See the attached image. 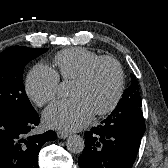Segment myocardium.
Instances as JSON below:
<instances>
[{"mask_svg":"<svg viewBox=\"0 0 168 168\" xmlns=\"http://www.w3.org/2000/svg\"><path fill=\"white\" fill-rule=\"evenodd\" d=\"M103 62H109L115 66L117 71V80H116V88L111 100L103 108L94 111V114L97 116L106 115L112 112L116 108L117 104L119 103L122 97L123 90H124V71L121 63L112 56H100L95 60L91 61L83 70V72L74 79V82H77V83L87 82L91 77L95 68Z\"/></svg>","mask_w":168,"mask_h":168,"instance_id":"obj_1","label":"myocardium"}]
</instances>
